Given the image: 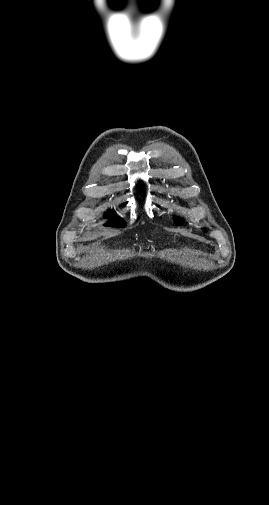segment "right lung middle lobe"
Listing matches in <instances>:
<instances>
[{
  "instance_id": "right-lung-middle-lobe-1",
  "label": "right lung middle lobe",
  "mask_w": 269,
  "mask_h": 505,
  "mask_svg": "<svg viewBox=\"0 0 269 505\" xmlns=\"http://www.w3.org/2000/svg\"><path fill=\"white\" fill-rule=\"evenodd\" d=\"M109 215L111 212L108 213ZM106 226H112V227H117V228H123L125 227V222L121 218H114L111 221H109Z\"/></svg>"
}]
</instances>
